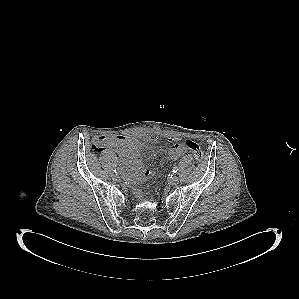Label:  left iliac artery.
<instances>
[{
  "label": "left iliac artery",
  "instance_id": "44dca946",
  "mask_svg": "<svg viewBox=\"0 0 299 299\" xmlns=\"http://www.w3.org/2000/svg\"><path fill=\"white\" fill-rule=\"evenodd\" d=\"M179 171V168L177 167V166H175L174 168H173V173H177Z\"/></svg>",
  "mask_w": 299,
  "mask_h": 299
}]
</instances>
